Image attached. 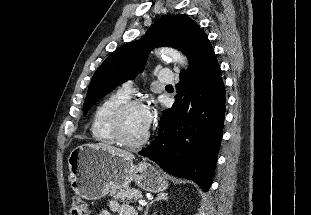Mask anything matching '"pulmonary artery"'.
Listing matches in <instances>:
<instances>
[{
	"label": "pulmonary artery",
	"instance_id": "e3ab8cb5",
	"mask_svg": "<svg viewBox=\"0 0 311 215\" xmlns=\"http://www.w3.org/2000/svg\"><path fill=\"white\" fill-rule=\"evenodd\" d=\"M158 80L162 83H172L174 81L173 73L169 69H162L158 74ZM122 93L130 96L133 92L131 82H125L119 89Z\"/></svg>",
	"mask_w": 311,
	"mask_h": 215
}]
</instances>
